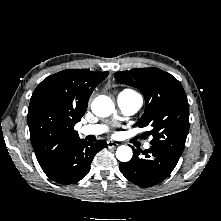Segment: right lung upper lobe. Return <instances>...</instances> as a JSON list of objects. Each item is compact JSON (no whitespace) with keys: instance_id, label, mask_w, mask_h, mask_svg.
<instances>
[{"instance_id":"obj_1","label":"right lung upper lobe","mask_w":221,"mask_h":221,"mask_svg":"<svg viewBox=\"0 0 221 221\" xmlns=\"http://www.w3.org/2000/svg\"><path fill=\"white\" fill-rule=\"evenodd\" d=\"M108 72L68 69L45 78L34 90L28 110L31 142L39 164L80 140L74 126L87 110L95 87Z\"/></svg>"}]
</instances>
